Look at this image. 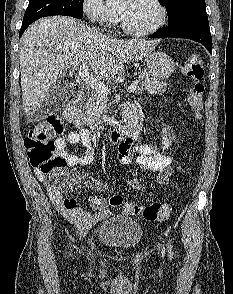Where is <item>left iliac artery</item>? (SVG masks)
<instances>
[{
    "instance_id": "left-iliac-artery-1",
    "label": "left iliac artery",
    "mask_w": 233,
    "mask_h": 294,
    "mask_svg": "<svg viewBox=\"0 0 233 294\" xmlns=\"http://www.w3.org/2000/svg\"><path fill=\"white\" fill-rule=\"evenodd\" d=\"M167 248H168V253H169V257H170V259H172V257H173V252H172V247H171V245L168 243V245H167Z\"/></svg>"
}]
</instances>
